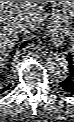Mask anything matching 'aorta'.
Listing matches in <instances>:
<instances>
[{
  "mask_svg": "<svg viewBox=\"0 0 74 122\" xmlns=\"http://www.w3.org/2000/svg\"><path fill=\"white\" fill-rule=\"evenodd\" d=\"M44 61L47 70L54 75H63L68 71V60L60 52H48Z\"/></svg>",
  "mask_w": 74,
  "mask_h": 122,
  "instance_id": "1",
  "label": "aorta"
}]
</instances>
